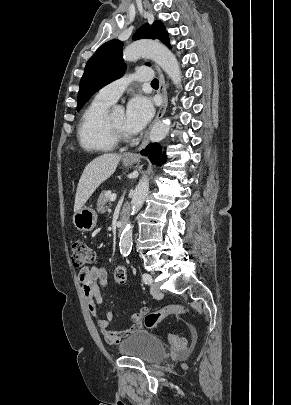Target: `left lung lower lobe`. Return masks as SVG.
I'll list each match as a JSON object with an SVG mask.
<instances>
[{
  "instance_id": "obj_1",
  "label": "left lung lower lobe",
  "mask_w": 291,
  "mask_h": 405,
  "mask_svg": "<svg viewBox=\"0 0 291 405\" xmlns=\"http://www.w3.org/2000/svg\"><path fill=\"white\" fill-rule=\"evenodd\" d=\"M141 154L148 156L154 164L161 165L166 161V155H161V146L158 143L149 144L144 150L141 151Z\"/></svg>"
}]
</instances>
